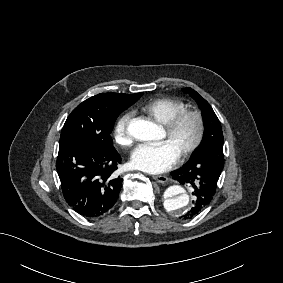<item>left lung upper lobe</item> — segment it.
<instances>
[{
	"label": "left lung upper lobe",
	"mask_w": 283,
	"mask_h": 283,
	"mask_svg": "<svg viewBox=\"0 0 283 283\" xmlns=\"http://www.w3.org/2000/svg\"><path fill=\"white\" fill-rule=\"evenodd\" d=\"M183 91L189 93L199 105L205 126L202 142L193 155L200 153L206 146L223 145L221 124L210 104L191 88H184Z\"/></svg>",
	"instance_id": "1"
}]
</instances>
